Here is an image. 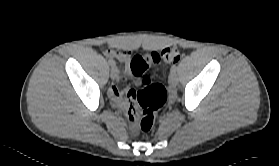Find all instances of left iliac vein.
I'll return each instance as SVG.
<instances>
[{"label":"left iliac vein","mask_w":279,"mask_h":166,"mask_svg":"<svg viewBox=\"0 0 279 166\" xmlns=\"http://www.w3.org/2000/svg\"><path fill=\"white\" fill-rule=\"evenodd\" d=\"M169 85L175 87L178 83V77L176 72H171L168 79Z\"/></svg>","instance_id":"left-iliac-vein-1"}]
</instances>
